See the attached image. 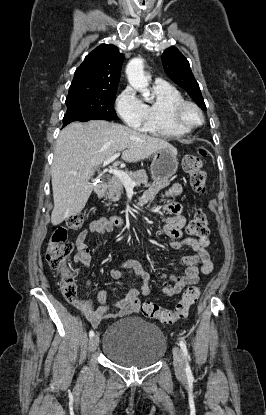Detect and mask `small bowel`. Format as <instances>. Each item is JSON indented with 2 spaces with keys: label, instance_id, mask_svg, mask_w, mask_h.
<instances>
[{
  "label": "small bowel",
  "instance_id": "small-bowel-1",
  "mask_svg": "<svg viewBox=\"0 0 266 415\" xmlns=\"http://www.w3.org/2000/svg\"><path fill=\"white\" fill-rule=\"evenodd\" d=\"M182 191L183 187L180 183L168 184L166 181H158L146 190L141 198V204L154 200L156 196L161 198L177 197L182 194ZM164 211L169 216L163 219V232L173 239L171 247L179 250L187 246L196 252L194 255L185 256L179 260V265L186 266L182 276L175 274L170 276L162 275L163 294L174 296L179 294L186 286L197 283L201 274H209L213 270V262L207 250L209 245L208 238H182L183 228L186 223V219L182 214V205L179 202H170L164 206ZM111 230L112 226L106 219L91 222L89 228L82 231L75 240L76 254L74 255V262L89 267L91 255L86 244L87 236L92 233L104 237ZM104 243H106V239H104ZM127 274H133L138 277L142 281V285L139 289L130 284L123 299L115 305V311H110V307L107 304V293L104 290L98 293L99 306H95L90 299L81 296H78L71 303L85 315L93 327H97L104 319H116L138 312L141 306L138 298L139 293L146 296L151 292L149 285L150 277L142 265L133 260L122 263L110 272L111 277L114 279H121ZM90 286L91 282H88L86 288L88 289Z\"/></svg>",
  "mask_w": 266,
  "mask_h": 415
}]
</instances>
